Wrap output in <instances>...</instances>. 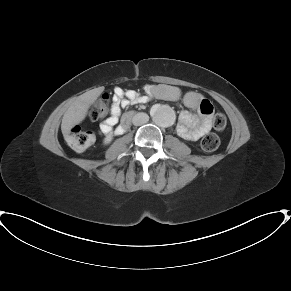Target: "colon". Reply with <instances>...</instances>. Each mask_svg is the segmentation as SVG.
Wrapping results in <instances>:
<instances>
[{
	"label": "colon",
	"mask_w": 291,
	"mask_h": 291,
	"mask_svg": "<svg viewBox=\"0 0 291 291\" xmlns=\"http://www.w3.org/2000/svg\"><path fill=\"white\" fill-rule=\"evenodd\" d=\"M110 93H104L98 101L91 107L90 117L92 120H103L107 117L110 109ZM210 108L206 109V113H209ZM213 125L216 129L222 130L226 126V117L222 113H217L213 118ZM94 140V134L92 131L77 127L73 129L68 136V143L70 147L76 151H82L86 149ZM220 145V139L215 134L206 135L201 140V147L205 152H213Z\"/></svg>",
	"instance_id": "1"
}]
</instances>
